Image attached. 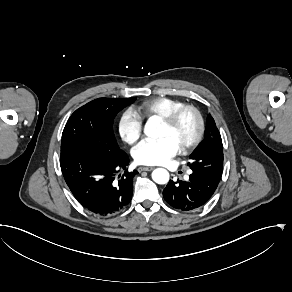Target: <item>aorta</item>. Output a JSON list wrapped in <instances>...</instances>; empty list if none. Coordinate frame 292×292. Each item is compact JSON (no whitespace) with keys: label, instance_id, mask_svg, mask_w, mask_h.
<instances>
[{"label":"aorta","instance_id":"762f6f07","mask_svg":"<svg viewBox=\"0 0 292 292\" xmlns=\"http://www.w3.org/2000/svg\"><path fill=\"white\" fill-rule=\"evenodd\" d=\"M158 124L154 121L149 120L144 128V133L152 138L159 136L157 130ZM152 179L158 184H166L169 181V173L164 168H157L152 172Z\"/></svg>","mask_w":292,"mask_h":292}]
</instances>
